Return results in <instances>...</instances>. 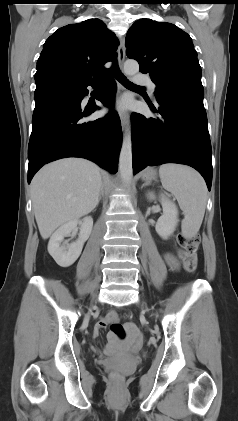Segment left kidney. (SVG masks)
I'll list each match as a JSON object with an SVG mask.
<instances>
[{
	"label": "left kidney",
	"instance_id": "1",
	"mask_svg": "<svg viewBox=\"0 0 238 421\" xmlns=\"http://www.w3.org/2000/svg\"><path fill=\"white\" fill-rule=\"evenodd\" d=\"M147 197L149 200L155 199V195L152 192H149ZM160 202L163 208V214L157 220L155 229L162 239L167 240L173 234L179 222L178 210L175 204L164 195L160 196Z\"/></svg>",
	"mask_w": 238,
	"mask_h": 421
}]
</instances>
